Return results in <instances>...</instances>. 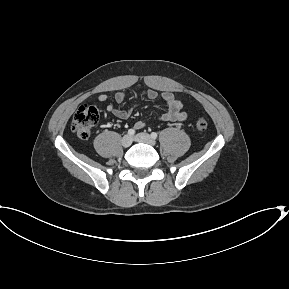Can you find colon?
Instances as JSON below:
<instances>
[{
	"label": "colon",
	"instance_id": "5ec220e1",
	"mask_svg": "<svg viewBox=\"0 0 289 289\" xmlns=\"http://www.w3.org/2000/svg\"><path fill=\"white\" fill-rule=\"evenodd\" d=\"M99 112L96 104L86 103L81 105L73 116L71 130L80 138H89L93 127L98 122ZM195 127L199 132L206 131L208 123L204 118H199Z\"/></svg>",
	"mask_w": 289,
	"mask_h": 289
}]
</instances>
